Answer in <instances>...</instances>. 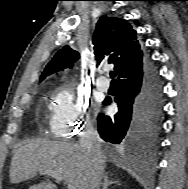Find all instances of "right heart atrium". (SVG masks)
Segmentation results:
<instances>
[{"mask_svg":"<svg viewBox=\"0 0 188 189\" xmlns=\"http://www.w3.org/2000/svg\"><path fill=\"white\" fill-rule=\"evenodd\" d=\"M50 129L56 137H76L92 129L88 103L67 87L53 95Z\"/></svg>","mask_w":188,"mask_h":189,"instance_id":"obj_1","label":"right heart atrium"}]
</instances>
